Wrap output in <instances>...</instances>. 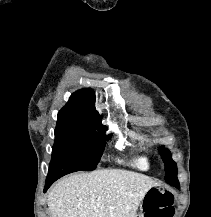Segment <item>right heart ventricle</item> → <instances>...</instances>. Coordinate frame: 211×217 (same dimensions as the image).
<instances>
[{"instance_id": "1", "label": "right heart ventricle", "mask_w": 211, "mask_h": 217, "mask_svg": "<svg viewBox=\"0 0 211 217\" xmlns=\"http://www.w3.org/2000/svg\"><path fill=\"white\" fill-rule=\"evenodd\" d=\"M131 164L141 170H148L150 168V160L147 156L144 155L134 158L131 161Z\"/></svg>"}]
</instances>
